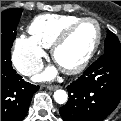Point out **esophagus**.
I'll return each mask as SVG.
<instances>
[{
    "label": "esophagus",
    "instance_id": "1",
    "mask_svg": "<svg viewBox=\"0 0 121 121\" xmlns=\"http://www.w3.org/2000/svg\"><path fill=\"white\" fill-rule=\"evenodd\" d=\"M46 88H47L48 90H56V89L59 88V86H58V85H48V86H46Z\"/></svg>",
    "mask_w": 121,
    "mask_h": 121
}]
</instances>
